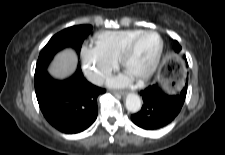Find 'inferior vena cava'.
<instances>
[{
    "instance_id": "inferior-vena-cava-1",
    "label": "inferior vena cava",
    "mask_w": 225,
    "mask_h": 155,
    "mask_svg": "<svg viewBox=\"0 0 225 155\" xmlns=\"http://www.w3.org/2000/svg\"><path fill=\"white\" fill-rule=\"evenodd\" d=\"M111 77L110 73L107 74H95L91 79V82L95 85H102L104 81Z\"/></svg>"
}]
</instances>
